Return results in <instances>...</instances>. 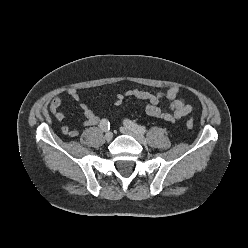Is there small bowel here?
I'll return each instance as SVG.
<instances>
[{
    "label": "small bowel",
    "instance_id": "c3829d8e",
    "mask_svg": "<svg viewBox=\"0 0 248 248\" xmlns=\"http://www.w3.org/2000/svg\"><path fill=\"white\" fill-rule=\"evenodd\" d=\"M180 90L178 87L169 88L163 92L151 93L142 89H129L124 93H118L114 99V105L120 106L126 97H134L139 100L147 101L146 113L150 117L163 119L167 122H176L181 118L187 116L192 111V106L188 104L183 97L179 96ZM67 94L74 100L79 101L80 95L76 88H69ZM167 100L169 102V109L171 112L163 111L160 107V102ZM64 103V98L60 95L55 96L49 105L50 112L59 122L65 118L61 106ZM83 112L85 126H95L100 121V118L89 108L85 103L80 104ZM61 132L69 137H77L79 131L75 128H70L67 125L62 126Z\"/></svg>",
    "mask_w": 248,
    "mask_h": 248
}]
</instances>
